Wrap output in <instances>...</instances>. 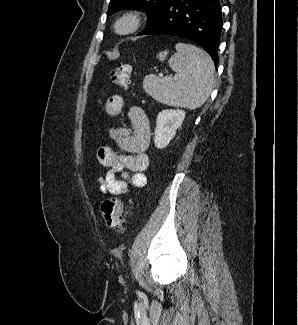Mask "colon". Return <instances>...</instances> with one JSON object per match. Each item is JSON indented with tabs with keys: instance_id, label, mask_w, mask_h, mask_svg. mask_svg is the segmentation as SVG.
I'll return each mask as SVG.
<instances>
[{
	"instance_id": "1",
	"label": "colon",
	"mask_w": 298,
	"mask_h": 325,
	"mask_svg": "<svg viewBox=\"0 0 298 325\" xmlns=\"http://www.w3.org/2000/svg\"><path fill=\"white\" fill-rule=\"evenodd\" d=\"M131 66L119 64L110 72V80L117 86L125 87L129 83ZM101 214L106 226L117 233L124 231V205L116 198L105 199L101 204Z\"/></svg>"
}]
</instances>
